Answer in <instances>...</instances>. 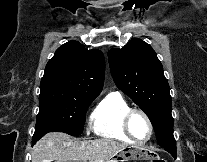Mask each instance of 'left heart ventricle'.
<instances>
[{
	"label": "left heart ventricle",
	"mask_w": 207,
	"mask_h": 162,
	"mask_svg": "<svg viewBox=\"0 0 207 162\" xmlns=\"http://www.w3.org/2000/svg\"><path fill=\"white\" fill-rule=\"evenodd\" d=\"M130 130L133 136L138 140L146 139L149 134V128L146 120L141 115H135L130 122Z\"/></svg>",
	"instance_id": "left-heart-ventricle-1"
}]
</instances>
